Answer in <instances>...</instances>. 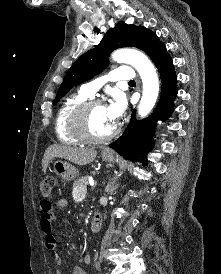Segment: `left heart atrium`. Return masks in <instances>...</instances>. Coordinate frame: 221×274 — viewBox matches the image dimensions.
Listing matches in <instances>:
<instances>
[{
    "instance_id": "39dd6f15",
    "label": "left heart atrium",
    "mask_w": 221,
    "mask_h": 274,
    "mask_svg": "<svg viewBox=\"0 0 221 274\" xmlns=\"http://www.w3.org/2000/svg\"><path fill=\"white\" fill-rule=\"evenodd\" d=\"M124 109L125 101L122 97H116L113 102L107 106L108 117L113 124L123 115Z\"/></svg>"
}]
</instances>
